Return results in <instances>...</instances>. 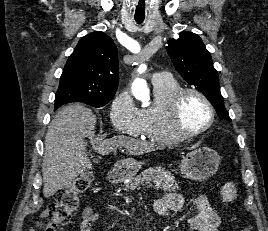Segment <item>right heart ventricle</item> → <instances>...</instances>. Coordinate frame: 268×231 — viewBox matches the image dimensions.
<instances>
[{"label":"right heart ventricle","mask_w":268,"mask_h":231,"mask_svg":"<svg viewBox=\"0 0 268 231\" xmlns=\"http://www.w3.org/2000/svg\"><path fill=\"white\" fill-rule=\"evenodd\" d=\"M154 102L149 107L140 109L142 136L157 144H174L180 139L170 129L168 113L173 95L181 89L173 78H163L152 82Z\"/></svg>","instance_id":"1"}]
</instances>
